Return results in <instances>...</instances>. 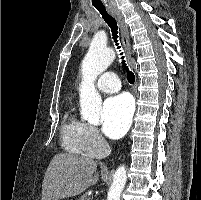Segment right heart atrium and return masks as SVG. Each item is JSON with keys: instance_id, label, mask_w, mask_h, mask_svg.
<instances>
[{"instance_id": "right-heart-atrium-1", "label": "right heart atrium", "mask_w": 201, "mask_h": 200, "mask_svg": "<svg viewBox=\"0 0 201 200\" xmlns=\"http://www.w3.org/2000/svg\"><path fill=\"white\" fill-rule=\"evenodd\" d=\"M84 140L87 152L91 155H101L107 148V142L93 125L84 124Z\"/></svg>"}]
</instances>
